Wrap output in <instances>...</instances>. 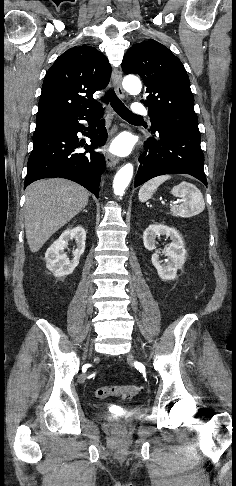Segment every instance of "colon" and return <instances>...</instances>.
<instances>
[{
	"mask_svg": "<svg viewBox=\"0 0 236 486\" xmlns=\"http://www.w3.org/2000/svg\"><path fill=\"white\" fill-rule=\"evenodd\" d=\"M142 391L140 385H122V386H102L96 390V397L105 399L111 396L121 398H132Z\"/></svg>",
	"mask_w": 236,
	"mask_h": 486,
	"instance_id": "obj_1",
	"label": "colon"
}]
</instances>
